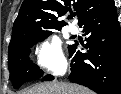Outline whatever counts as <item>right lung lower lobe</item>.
I'll return each mask as SVG.
<instances>
[{
  "instance_id": "1",
  "label": "right lung lower lobe",
  "mask_w": 121,
  "mask_h": 94,
  "mask_svg": "<svg viewBox=\"0 0 121 94\" xmlns=\"http://www.w3.org/2000/svg\"><path fill=\"white\" fill-rule=\"evenodd\" d=\"M79 26L88 35L87 53L80 52L77 43L71 47L69 79L99 94H121V29L114 1ZM49 80H53L51 75L42 78Z\"/></svg>"
}]
</instances>
